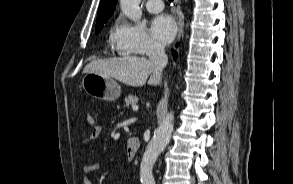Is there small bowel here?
Masks as SVG:
<instances>
[{
    "mask_svg": "<svg viewBox=\"0 0 293 184\" xmlns=\"http://www.w3.org/2000/svg\"><path fill=\"white\" fill-rule=\"evenodd\" d=\"M101 134H102V127L100 125H94L91 131V134L84 141V143L90 144L96 141L100 137ZM99 168H100V165L97 162H89V163L83 164L80 168L82 173L81 184H93L90 178L88 177V175L90 173L97 171Z\"/></svg>",
    "mask_w": 293,
    "mask_h": 184,
    "instance_id": "1",
    "label": "small bowel"
}]
</instances>
